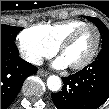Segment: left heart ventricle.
Segmentation results:
<instances>
[{
    "label": "left heart ventricle",
    "mask_w": 109,
    "mask_h": 109,
    "mask_svg": "<svg viewBox=\"0 0 109 109\" xmlns=\"http://www.w3.org/2000/svg\"><path fill=\"white\" fill-rule=\"evenodd\" d=\"M96 31L92 27L84 29L76 41L65 50L62 57L69 65L84 61L92 52L96 42Z\"/></svg>",
    "instance_id": "obj_1"
}]
</instances>
